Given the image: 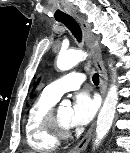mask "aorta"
I'll return each instance as SVG.
<instances>
[{
  "label": "aorta",
  "instance_id": "obj_1",
  "mask_svg": "<svg viewBox=\"0 0 130 153\" xmlns=\"http://www.w3.org/2000/svg\"><path fill=\"white\" fill-rule=\"evenodd\" d=\"M86 53L82 50H73L68 52H60L57 57V67L61 71H67L73 68L75 65L86 59ZM112 66V65H110ZM114 72V69H112ZM115 75V72H114ZM113 78V82H114ZM117 87L112 84L108 90L103 106L99 112L96 126V139L95 145H99L100 141L109 132L116 113V106L118 103V91ZM63 106L70 107L71 102L69 100L62 101Z\"/></svg>",
  "mask_w": 130,
  "mask_h": 153
}]
</instances>
